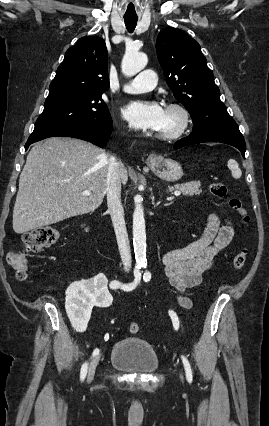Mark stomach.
<instances>
[{"instance_id":"0dacf381","label":"stomach","mask_w":269,"mask_h":426,"mask_svg":"<svg viewBox=\"0 0 269 426\" xmlns=\"http://www.w3.org/2000/svg\"><path fill=\"white\" fill-rule=\"evenodd\" d=\"M151 170L165 181H177L183 176L181 165L170 158H161L149 164Z\"/></svg>"}]
</instances>
